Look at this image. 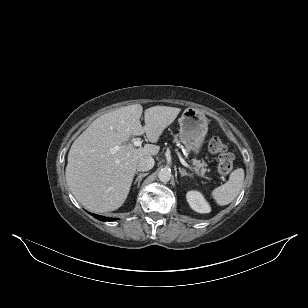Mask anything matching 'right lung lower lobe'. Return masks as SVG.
Masks as SVG:
<instances>
[{"mask_svg":"<svg viewBox=\"0 0 308 308\" xmlns=\"http://www.w3.org/2000/svg\"><path fill=\"white\" fill-rule=\"evenodd\" d=\"M93 216H94L96 219L101 220V221H113V220H116V219H112V218H106V217H104V216H99V215H97V214H94Z\"/></svg>","mask_w":308,"mask_h":308,"instance_id":"98d812e1","label":"right lung lower lobe"}]
</instances>
